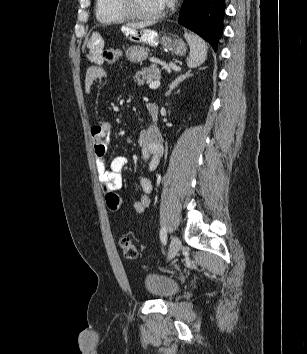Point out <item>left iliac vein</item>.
<instances>
[{"instance_id":"left-iliac-vein-1","label":"left iliac vein","mask_w":307,"mask_h":354,"mask_svg":"<svg viewBox=\"0 0 307 354\" xmlns=\"http://www.w3.org/2000/svg\"><path fill=\"white\" fill-rule=\"evenodd\" d=\"M181 248V241L178 237L174 236L170 242V248L168 253V259H173Z\"/></svg>"}]
</instances>
